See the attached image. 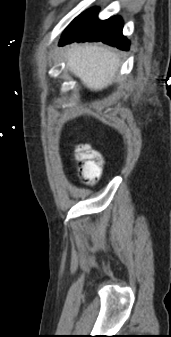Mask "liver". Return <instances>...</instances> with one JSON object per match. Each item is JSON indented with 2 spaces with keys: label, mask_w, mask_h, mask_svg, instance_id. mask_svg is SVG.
Segmentation results:
<instances>
[{
  "label": "liver",
  "mask_w": 171,
  "mask_h": 337,
  "mask_svg": "<svg viewBox=\"0 0 171 337\" xmlns=\"http://www.w3.org/2000/svg\"><path fill=\"white\" fill-rule=\"evenodd\" d=\"M65 59L69 70L90 90L106 88L120 66L119 57L107 47L73 44Z\"/></svg>",
  "instance_id": "6515ba94"
}]
</instances>
